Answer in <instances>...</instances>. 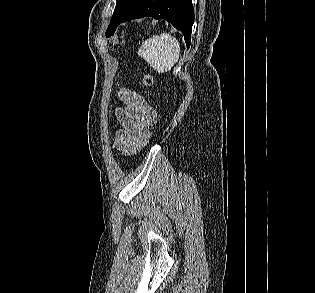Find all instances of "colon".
Wrapping results in <instances>:
<instances>
[{
    "instance_id": "obj_1",
    "label": "colon",
    "mask_w": 315,
    "mask_h": 293,
    "mask_svg": "<svg viewBox=\"0 0 315 293\" xmlns=\"http://www.w3.org/2000/svg\"><path fill=\"white\" fill-rule=\"evenodd\" d=\"M141 41H144V38H141ZM153 77L150 73H145L144 76H143V85L144 87L146 88H150L152 85H153ZM118 84L119 85H126L127 84V79L126 78H119L118 79ZM117 93L118 94H129L130 93V86H121V87H118L117 88ZM150 137V132L148 131L141 144H140V147L139 148H142L148 141Z\"/></svg>"
}]
</instances>
